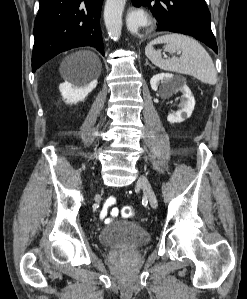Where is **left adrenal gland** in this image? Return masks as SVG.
<instances>
[{"label": "left adrenal gland", "mask_w": 247, "mask_h": 299, "mask_svg": "<svg viewBox=\"0 0 247 299\" xmlns=\"http://www.w3.org/2000/svg\"><path fill=\"white\" fill-rule=\"evenodd\" d=\"M145 65H146V66L149 65L151 68H153V67L149 64L148 60H146Z\"/></svg>", "instance_id": "left-adrenal-gland-1"}]
</instances>
